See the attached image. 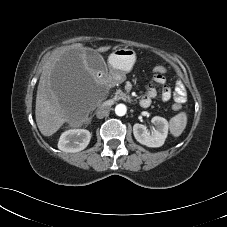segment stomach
<instances>
[{
    "label": "stomach",
    "mask_w": 227,
    "mask_h": 227,
    "mask_svg": "<svg viewBox=\"0 0 227 227\" xmlns=\"http://www.w3.org/2000/svg\"><path fill=\"white\" fill-rule=\"evenodd\" d=\"M136 60L134 50L127 47H120L115 49L109 56L110 68L117 76V81H123L126 73H128Z\"/></svg>",
    "instance_id": "0dacf381"
}]
</instances>
